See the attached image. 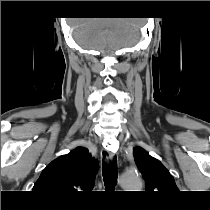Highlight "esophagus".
<instances>
[{"label": "esophagus", "instance_id": "1", "mask_svg": "<svg viewBox=\"0 0 210 210\" xmlns=\"http://www.w3.org/2000/svg\"><path fill=\"white\" fill-rule=\"evenodd\" d=\"M100 156H101V160H102L104 163H109V161H112V160L114 159L115 153L109 151L106 147H104V148L101 150Z\"/></svg>", "mask_w": 210, "mask_h": 210}]
</instances>
